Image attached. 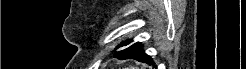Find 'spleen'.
Listing matches in <instances>:
<instances>
[{
	"mask_svg": "<svg viewBox=\"0 0 246 69\" xmlns=\"http://www.w3.org/2000/svg\"><path fill=\"white\" fill-rule=\"evenodd\" d=\"M130 69H135L134 67H131Z\"/></svg>",
	"mask_w": 246,
	"mask_h": 69,
	"instance_id": "obj_1",
	"label": "spleen"
}]
</instances>
